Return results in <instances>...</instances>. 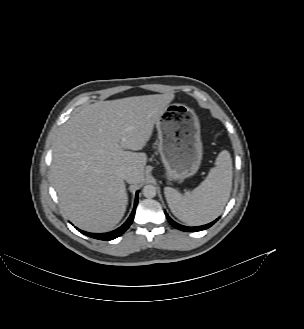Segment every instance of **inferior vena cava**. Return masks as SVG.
I'll return each instance as SVG.
<instances>
[{
    "instance_id": "1",
    "label": "inferior vena cava",
    "mask_w": 304,
    "mask_h": 329,
    "mask_svg": "<svg viewBox=\"0 0 304 329\" xmlns=\"http://www.w3.org/2000/svg\"><path fill=\"white\" fill-rule=\"evenodd\" d=\"M121 177H122L124 180L129 181V179H130V177H131V174H130V172H128V171H123V172L121 173Z\"/></svg>"
}]
</instances>
